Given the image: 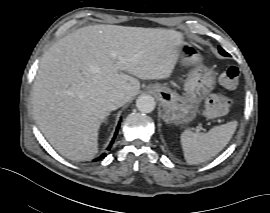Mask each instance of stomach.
Listing matches in <instances>:
<instances>
[{
  "label": "stomach",
  "instance_id": "1",
  "mask_svg": "<svg viewBox=\"0 0 270 213\" xmlns=\"http://www.w3.org/2000/svg\"><path fill=\"white\" fill-rule=\"evenodd\" d=\"M180 62L189 66L200 62L198 51L189 43L182 42ZM214 72L202 65L196 66L189 74L184 85V95L178 94L167 85L153 84L150 88L158 95L163 119L170 124H188L199 111L200 102L214 89Z\"/></svg>",
  "mask_w": 270,
  "mask_h": 213
}]
</instances>
